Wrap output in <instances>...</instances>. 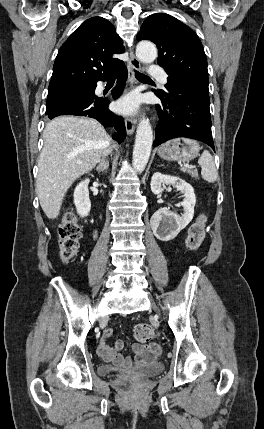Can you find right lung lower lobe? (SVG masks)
Listing matches in <instances>:
<instances>
[{"mask_svg":"<svg viewBox=\"0 0 264 429\" xmlns=\"http://www.w3.org/2000/svg\"><path fill=\"white\" fill-rule=\"evenodd\" d=\"M127 73L124 62H121L116 68L99 80L104 81L110 77L117 76L118 85L112 92L113 98H118L124 89ZM98 81L92 83L94 91ZM109 103L110 101L108 99L99 98L95 95H78L59 102L52 108L46 110V114L50 119L60 115H77L94 118L105 128L115 127L118 133L113 135V139L121 143L126 136L125 123L121 116L115 115L108 109Z\"/></svg>","mask_w":264,"mask_h":429,"instance_id":"1","label":"right lung lower lobe"}]
</instances>
